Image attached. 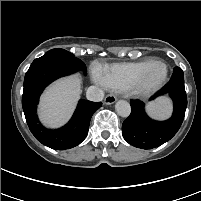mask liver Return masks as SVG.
Segmentation results:
<instances>
[{"label": "liver", "mask_w": 201, "mask_h": 201, "mask_svg": "<svg viewBox=\"0 0 201 201\" xmlns=\"http://www.w3.org/2000/svg\"><path fill=\"white\" fill-rule=\"evenodd\" d=\"M81 94V79L72 76L53 83L41 97L39 115L50 127L62 125L72 114Z\"/></svg>", "instance_id": "liver-1"}]
</instances>
